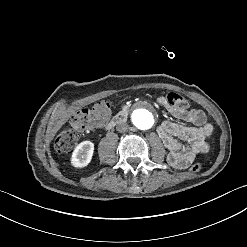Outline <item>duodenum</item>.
Wrapping results in <instances>:
<instances>
[{
  "mask_svg": "<svg viewBox=\"0 0 247 247\" xmlns=\"http://www.w3.org/2000/svg\"><path fill=\"white\" fill-rule=\"evenodd\" d=\"M129 109L127 107L119 110L113 118L107 123L106 129H112L116 124L122 122L128 115Z\"/></svg>",
  "mask_w": 247,
  "mask_h": 247,
  "instance_id": "duodenum-1",
  "label": "duodenum"
}]
</instances>
